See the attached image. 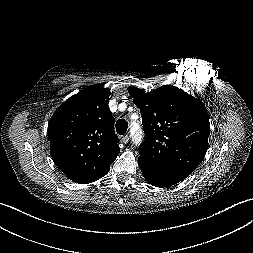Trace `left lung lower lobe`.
<instances>
[{"label":"left lung lower lobe","mask_w":253,"mask_h":253,"mask_svg":"<svg viewBox=\"0 0 253 253\" xmlns=\"http://www.w3.org/2000/svg\"><path fill=\"white\" fill-rule=\"evenodd\" d=\"M139 165L146 181L153 186L168 187L184 180L186 174L158 169L139 157Z\"/></svg>","instance_id":"left-lung-lower-lobe-1"}]
</instances>
